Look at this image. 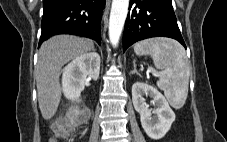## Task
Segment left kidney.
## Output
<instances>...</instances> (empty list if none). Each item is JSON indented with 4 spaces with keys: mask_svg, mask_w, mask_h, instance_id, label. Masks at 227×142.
<instances>
[{
    "mask_svg": "<svg viewBox=\"0 0 227 142\" xmlns=\"http://www.w3.org/2000/svg\"><path fill=\"white\" fill-rule=\"evenodd\" d=\"M149 96L156 104L151 112L144 96ZM132 101L135 110L140 114L141 125L146 134L155 140L161 139L171 128L175 113L170 108L166 98L153 86L136 82L132 86ZM152 113L155 115L152 116Z\"/></svg>",
    "mask_w": 227,
    "mask_h": 142,
    "instance_id": "obj_1",
    "label": "left kidney"
}]
</instances>
